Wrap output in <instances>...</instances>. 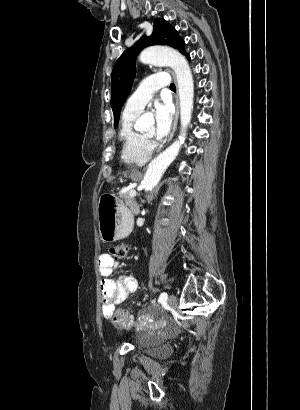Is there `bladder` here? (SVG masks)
Listing matches in <instances>:
<instances>
[{"mask_svg": "<svg viewBox=\"0 0 300 410\" xmlns=\"http://www.w3.org/2000/svg\"><path fill=\"white\" fill-rule=\"evenodd\" d=\"M164 343H152L142 347V350L152 356L161 355L163 353V349L165 348ZM169 351V350H168Z\"/></svg>", "mask_w": 300, "mask_h": 410, "instance_id": "bladder-1", "label": "bladder"}]
</instances>
